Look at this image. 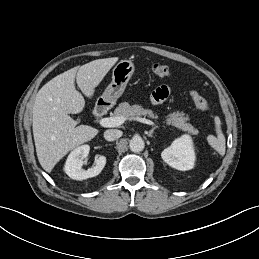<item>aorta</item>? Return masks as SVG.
<instances>
[{
    "label": "aorta",
    "instance_id": "762f6f07",
    "mask_svg": "<svg viewBox=\"0 0 259 259\" xmlns=\"http://www.w3.org/2000/svg\"><path fill=\"white\" fill-rule=\"evenodd\" d=\"M129 147L132 152L139 153L144 149L145 144L143 139L140 136H134L130 140Z\"/></svg>",
    "mask_w": 259,
    "mask_h": 259
}]
</instances>
